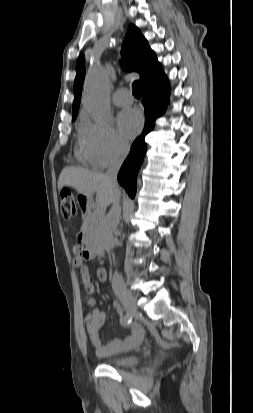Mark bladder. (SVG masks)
Wrapping results in <instances>:
<instances>
[{"label":"bladder","mask_w":253,"mask_h":413,"mask_svg":"<svg viewBox=\"0 0 253 413\" xmlns=\"http://www.w3.org/2000/svg\"><path fill=\"white\" fill-rule=\"evenodd\" d=\"M139 359L140 358L137 355H123L107 358L104 360V362L115 367H129L137 364L139 362Z\"/></svg>","instance_id":"obj_1"}]
</instances>
